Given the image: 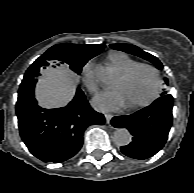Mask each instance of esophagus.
Masks as SVG:
<instances>
[{
  "instance_id": "esophagus-1",
  "label": "esophagus",
  "mask_w": 194,
  "mask_h": 193,
  "mask_svg": "<svg viewBox=\"0 0 194 193\" xmlns=\"http://www.w3.org/2000/svg\"><path fill=\"white\" fill-rule=\"evenodd\" d=\"M112 117H113V115H111V114H106L105 115V119H106L107 124H110Z\"/></svg>"
}]
</instances>
